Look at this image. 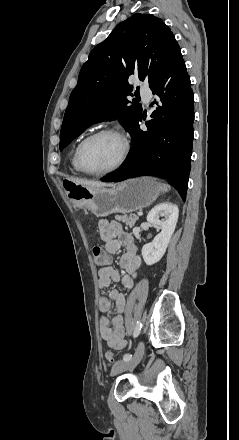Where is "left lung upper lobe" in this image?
<instances>
[{"label":"left lung upper lobe","instance_id":"5c2ea615","mask_svg":"<svg viewBox=\"0 0 239 440\" xmlns=\"http://www.w3.org/2000/svg\"><path fill=\"white\" fill-rule=\"evenodd\" d=\"M175 44L170 28L152 14L137 13L121 22L91 51L80 70L63 119L60 150L88 126L105 118L118 117L130 131L142 109L138 104L128 106L127 96H133L129 76L135 74L150 84Z\"/></svg>","mask_w":239,"mask_h":440}]
</instances>
